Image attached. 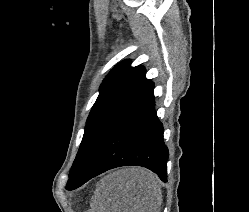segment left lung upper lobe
Listing matches in <instances>:
<instances>
[{
	"instance_id": "5c2ea615",
	"label": "left lung upper lobe",
	"mask_w": 249,
	"mask_h": 212,
	"mask_svg": "<svg viewBox=\"0 0 249 212\" xmlns=\"http://www.w3.org/2000/svg\"><path fill=\"white\" fill-rule=\"evenodd\" d=\"M130 63L125 60L118 64L101 84L67 183L80 176L110 128L152 83L146 79L144 67H131Z\"/></svg>"
}]
</instances>
